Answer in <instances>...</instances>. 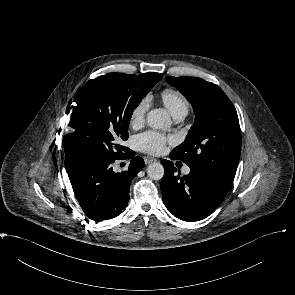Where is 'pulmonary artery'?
Instances as JSON below:
<instances>
[{"label":"pulmonary artery","instance_id":"obj_1","mask_svg":"<svg viewBox=\"0 0 295 295\" xmlns=\"http://www.w3.org/2000/svg\"><path fill=\"white\" fill-rule=\"evenodd\" d=\"M179 120H181V119H176V121H179ZM183 173H184V174H189V173H190V168H189V167H185V168L183 169Z\"/></svg>","mask_w":295,"mask_h":295}]
</instances>
